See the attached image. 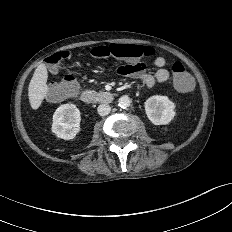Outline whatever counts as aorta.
I'll return each instance as SVG.
<instances>
[{"instance_id":"762f6f07","label":"aorta","mask_w":232,"mask_h":232,"mask_svg":"<svg viewBox=\"0 0 232 232\" xmlns=\"http://www.w3.org/2000/svg\"><path fill=\"white\" fill-rule=\"evenodd\" d=\"M130 104H131V100H130V98H129L128 96H126V95L120 97L119 100H118V105H119V107H121V108H123V109L129 107Z\"/></svg>"}]
</instances>
